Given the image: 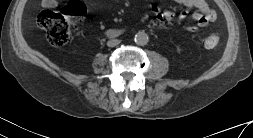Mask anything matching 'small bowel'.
<instances>
[{
    "label": "small bowel",
    "instance_id": "obj_1",
    "mask_svg": "<svg viewBox=\"0 0 253 138\" xmlns=\"http://www.w3.org/2000/svg\"><path fill=\"white\" fill-rule=\"evenodd\" d=\"M188 5H191L197 9L193 14L195 24L186 26V29L190 32H195L200 28L207 26L210 22L216 18L215 12L209 7L205 0H184ZM44 7H53L56 4V0H42ZM153 11L159 21L173 20L177 17L179 24H183L188 16V10H183L178 16L171 10H160L156 5L152 6Z\"/></svg>",
    "mask_w": 253,
    "mask_h": 138
}]
</instances>
